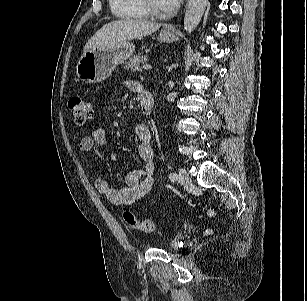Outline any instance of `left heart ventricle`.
<instances>
[{"label":"left heart ventricle","instance_id":"left-heart-ventricle-1","mask_svg":"<svg viewBox=\"0 0 307 301\" xmlns=\"http://www.w3.org/2000/svg\"><path fill=\"white\" fill-rule=\"evenodd\" d=\"M149 1L151 5L158 11L165 12L168 10L161 0H149Z\"/></svg>","mask_w":307,"mask_h":301}]
</instances>
